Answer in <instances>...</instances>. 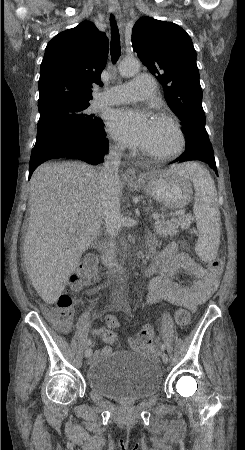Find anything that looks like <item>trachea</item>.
<instances>
[{"label": "trachea", "mask_w": 245, "mask_h": 450, "mask_svg": "<svg viewBox=\"0 0 245 450\" xmlns=\"http://www.w3.org/2000/svg\"><path fill=\"white\" fill-rule=\"evenodd\" d=\"M111 22V60L115 64L121 54L120 35L114 16L110 15Z\"/></svg>", "instance_id": "obj_1"}]
</instances>
